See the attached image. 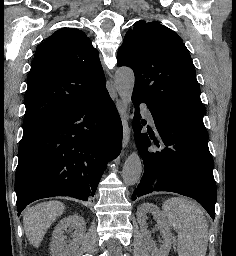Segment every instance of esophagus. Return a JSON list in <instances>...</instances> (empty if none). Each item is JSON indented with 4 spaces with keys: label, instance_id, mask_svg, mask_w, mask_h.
Wrapping results in <instances>:
<instances>
[{
    "label": "esophagus",
    "instance_id": "obj_1",
    "mask_svg": "<svg viewBox=\"0 0 236 256\" xmlns=\"http://www.w3.org/2000/svg\"><path fill=\"white\" fill-rule=\"evenodd\" d=\"M116 106H117L118 112L120 114L122 125H123L122 146H123V148H126L128 141H129V137H130L129 125H128V121H127V113H126V110H125V107H124L122 101L116 100Z\"/></svg>",
    "mask_w": 236,
    "mask_h": 256
}]
</instances>
